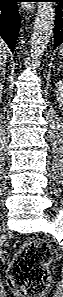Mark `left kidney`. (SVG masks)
<instances>
[{
	"label": "left kidney",
	"instance_id": "1",
	"mask_svg": "<svg viewBox=\"0 0 63 297\" xmlns=\"http://www.w3.org/2000/svg\"><path fill=\"white\" fill-rule=\"evenodd\" d=\"M56 98L60 105H63V81L57 83Z\"/></svg>",
	"mask_w": 63,
	"mask_h": 297
}]
</instances>
